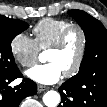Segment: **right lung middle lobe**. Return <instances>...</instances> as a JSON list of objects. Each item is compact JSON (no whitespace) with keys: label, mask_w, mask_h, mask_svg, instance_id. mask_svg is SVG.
<instances>
[{"label":"right lung middle lobe","mask_w":107,"mask_h":107,"mask_svg":"<svg viewBox=\"0 0 107 107\" xmlns=\"http://www.w3.org/2000/svg\"><path fill=\"white\" fill-rule=\"evenodd\" d=\"M28 26L26 22L21 20L0 16V76L7 75L17 69L11 50V42Z\"/></svg>","instance_id":"dd1d6c3e"}]
</instances>
